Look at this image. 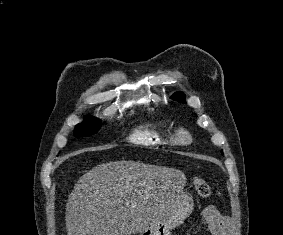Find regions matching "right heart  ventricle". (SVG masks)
Instances as JSON below:
<instances>
[{
  "instance_id": "e07e8e85",
  "label": "right heart ventricle",
  "mask_w": 283,
  "mask_h": 235,
  "mask_svg": "<svg viewBox=\"0 0 283 235\" xmlns=\"http://www.w3.org/2000/svg\"><path fill=\"white\" fill-rule=\"evenodd\" d=\"M130 141L149 148H155L174 143L170 131L163 130L157 125H148L135 129L130 135Z\"/></svg>"
}]
</instances>
